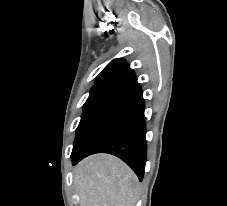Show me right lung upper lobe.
Listing matches in <instances>:
<instances>
[{
    "instance_id": "1",
    "label": "right lung upper lobe",
    "mask_w": 227,
    "mask_h": 206,
    "mask_svg": "<svg viewBox=\"0 0 227 206\" xmlns=\"http://www.w3.org/2000/svg\"><path fill=\"white\" fill-rule=\"evenodd\" d=\"M105 82H123L132 84L137 82L134 71L122 58L111 61L97 76L95 84Z\"/></svg>"
}]
</instances>
